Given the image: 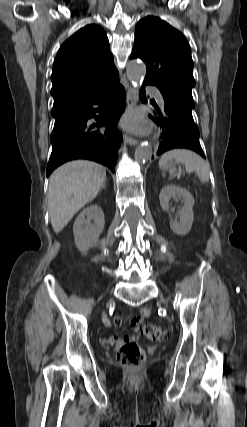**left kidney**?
Here are the masks:
<instances>
[{"instance_id": "left-kidney-1", "label": "left kidney", "mask_w": 247, "mask_h": 427, "mask_svg": "<svg viewBox=\"0 0 247 427\" xmlns=\"http://www.w3.org/2000/svg\"><path fill=\"white\" fill-rule=\"evenodd\" d=\"M172 197L180 198L184 205L177 213V215L180 217V221H171L170 227L175 234L183 236L188 234L192 227L194 218V198L188 190L182 187L176 185L164 186L159 194L160 206L164 211L170 212L169 201ZM169 215L171 217L170 213Z\"/></svg>"}]
</instances>
